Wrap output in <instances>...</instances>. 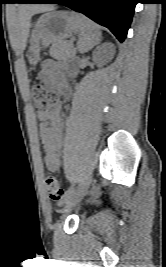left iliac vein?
Wrapping results in <instances>:
<instances>
[{
  "label": "left iliac vein",
  "mask_w": 166,
  "mask_h": 267,
  "mask_svg": "<svg viewBox=\"0 0 166 267\" xmlns=\"http://www.w3.org/2000/svg\"><path fill=\"white\" fill-rule=\"evenodd\" d=\"M91 183V176L89 175L67 198L65 201L66 208L64 212L68 211L71 207L79 203L88 191Z\"/></svg>",
  "instance_id": "1"
}]
</instances>
